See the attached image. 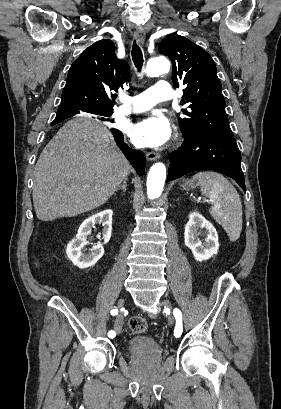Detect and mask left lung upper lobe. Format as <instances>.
<instances>
[{"instance_id": "obj_1", "label": "left lung upper lobe", "mask_w": 281, "mask_h": 409, "mask_svg": "<svg viewBox=\"0 0 281 409\" xmlns=\"http://www.w3.org/2000/svg\"><path fill=\"white\" fill-rule=\"evenodd\" d=\"M159 52L173 63L172 80L184 86L181 104L187 117L179 119L185 137L199 132L233 137L225 112V99L215 63L201 47L180 35H170L159 45Z\"/></svg>"}]
</instances>
